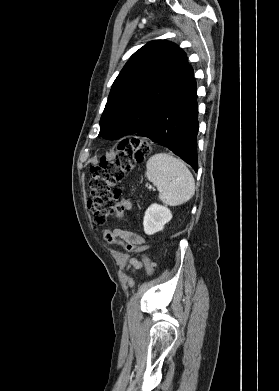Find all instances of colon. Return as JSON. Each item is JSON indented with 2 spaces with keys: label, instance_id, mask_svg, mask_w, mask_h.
Returning a JSON list of instances; mask_svg holds the SVG:
<instances>
[{
  "label": "colon",
  "instance_id": "colon-1",
  "mask_svg": "<svg viewBox=\"0 0 279 391\" xmlns=\"http://www.w3.org/2000/svg\"><path fill=\"white\" fill-rule=\"evenodd\" d=\"M150 145L139 138H131L121 141L114 154L110 158H103L99 164L92 166L91 180L89 183L91 198L88 207L96 225L104 224L108 218L123 217V207L117 204L122 194L118 183L124 178L135 165L143 162L150 153ZM103 237L107 242H117V237L110 231H105ZM126 250L136 251L137 246L119 241ZM150 275L154 272V263L147 257L142 256Z\"/></svg>",
  "mask_w": 279,
  "mask_h": 391
}]
</instances>
